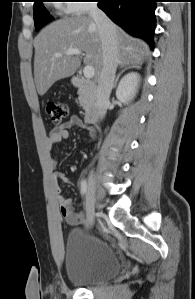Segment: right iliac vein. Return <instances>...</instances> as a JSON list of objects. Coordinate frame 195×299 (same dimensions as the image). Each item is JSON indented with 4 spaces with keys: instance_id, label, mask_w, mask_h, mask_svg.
I'll use <instances>...</instances> for the list:
<instances>
[{
    "instance_id": "1",
    "label": "right iliac vein",
    "mask_w": 195,
    "mask_h": 299,
    "mask_svg": "<svg viewBox=\"0 0 195 299\" xmlns=\"http://www.w3.org/2000/svg\"><path fill=\"white\" fill-rule=\"evenodd\" d=\"M95 209H96L95 179L93 173H91L89 176L88 190L86 194V212H87V219H88L89 226H92L94 224Z\"/></svg>"
}]
</instances>
